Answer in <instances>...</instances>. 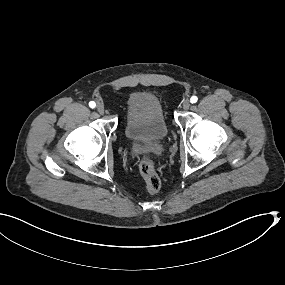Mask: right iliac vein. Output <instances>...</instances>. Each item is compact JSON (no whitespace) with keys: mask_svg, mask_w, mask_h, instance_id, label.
I'll use <instances>...</instances> for the list:
<instances>
[{"mask_svg":"<svg viewBox=\"0 0 285 285\" xmlns=\"http://www.w3.org/2000/svg\"><path fill=\"white\" fill-rule=\"evenodd\" d=\"M104 106L102 105V104H98L97 105V111L100 113V114H102V113H104Z\"/></svg>","mask_w":285,"mask_h":285,"instance_id":"obj_1","label":"right iliac vein"}]
</instances>
